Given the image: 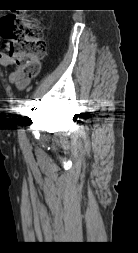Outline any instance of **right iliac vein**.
Here are the masks:
<instances>
[{
  "mask_svg": "<svg viewBox=\"0 0 138 253\" xmlns=\"http://www.w3.org/2000/svg\"><path fill=\"white\" fill-rule=\"evenodd\" d=\"M27 129H28V125H27V124H24V125H23V132H26Z\"/></svg>",
  "mask_w": 138,
  "mask_h": 253,
  "instance_id": "1",
  "label": "right iliac vein"
}]
</instances>
